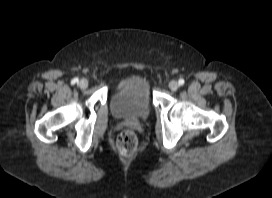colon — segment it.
<instances>
[{
    "mask_svg": "<svg viewBox=\"0 0 272 198\" xmlns=\"http://www.w3.org/2000/svg\"><path fill=\"white\" fill-rule=\"evenodd\" d=\"M138 146V139L134 131L126 129L120 132L116 140V147L123 157L132 156Z\"/></svg>",
    "mask_w": 272,
    "mask_h": 198,
    "instance_id": "5ec220e1",
    "label": "colon"
}]
</instances>
